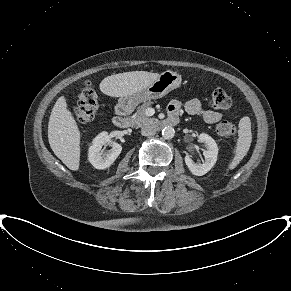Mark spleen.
Here are the masks:
<instances>
[{
  "instance_id": "3e777b00",
  "label": "spleen",
  "mask_w": 291,
  "mask_h": 291,
  "mask_svg": "<svg viewBox=\"0 0 291 291\" xmlns=\"http://www.w3.org/2000/svg\"><path fill=\"white\" fill-rule=\"evenodd\" d=\"M252 141L251 123L248 117H243L239 122V138L236 144L234 157L229 163L228 169L233 170L247 154Z\"/></svg>"
}]
</instances>
